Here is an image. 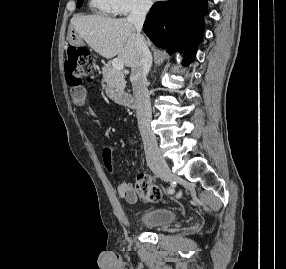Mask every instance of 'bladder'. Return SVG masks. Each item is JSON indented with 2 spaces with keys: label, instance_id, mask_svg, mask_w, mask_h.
Masks as SVG:
<instances>
[{
  "label": "bladder",
  "instance_id": "1",
  "mask_svg": "<svg viewBox=\"0 0 286 269\" xmlns=\"http://www.w3.org/2000/svg\"><path fill=\"white\" fill-rule=\"evenodd\" d=\"M178 214L171 208H154L139 214L138 223L148 229H159L174 223Z\"/></svg>",
  "mask_w": 286,
  "mask_h": 269
}]
</instances>
